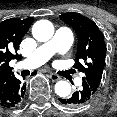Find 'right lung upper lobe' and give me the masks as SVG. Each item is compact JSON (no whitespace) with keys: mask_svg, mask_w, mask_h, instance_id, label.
Wrapping results in <instances>:
<instances>
[{"mask_svg":"<svg viewBox=\"0 0 117 117\" xmlns=\"http://www.w3.org/2000/svg\"><path fill=\"white\" fill-rule=\"evenodd\" d=\"M33 20L31 17L24 20L11 18L0 23V93L15 77L9 61L13 58H21L13 53L18 50L22 37L28 31Z\"/></svg>","mask_w":117,"mask_h":117,"instance_id":"1","label":"right lung upper lobe"}]
</instances>
